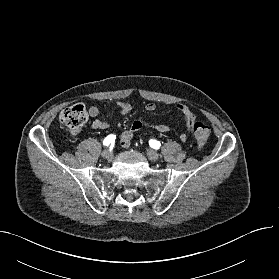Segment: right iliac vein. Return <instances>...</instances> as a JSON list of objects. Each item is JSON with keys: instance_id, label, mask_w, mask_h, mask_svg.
Wrapping results in <instances>:
<instances>
[{"instance_id": "63e3f726", "label": "right iliac vein", "mask_w": 279, "mask_h": 279, "mask_svg": "<svg viewBox=\"0 0 279 279\" xmlns=\"http://www.w3.org/2000/svg\"><path fill=\"white\" fill-rule=\"evenodd\" d=\"M112 153H111V151L109 150V149H106V150H104L103 152H102V157L104 158V159H107V160H111L112 159Z\"/></svg>"}]
</instances>
